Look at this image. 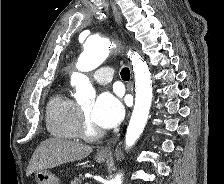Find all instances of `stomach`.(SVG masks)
Instances as JSON below:
<instances>
[{"mask_svg": "<svg viewBox=\"0 0 224 184\" xmlns=\"http://www.w3.org/2000/svg\"><path fill=\"white\" fill-rule=\"evenodd\" d=\"M108 157L96 156L95 160L98 163H104ZM35 180L37 184H60V180L47 169L38 170L35 173Z\"/></svg>", "mask_w": 224, "mask_h": 184, "instance_id": "stomach-1", "label": "stomach"}]
</instances>
